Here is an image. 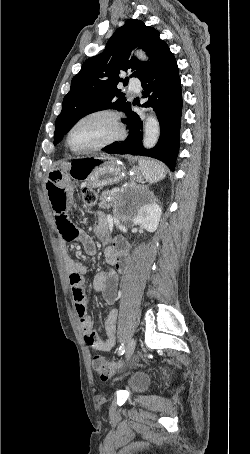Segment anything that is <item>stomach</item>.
<instances>
[{
  "instance_id": "0dacf381",
  "label": "stomach",
  "mask_w": 250,
  "mask_h": 454,
  "mask_svg": "<svg viewBox=\"0 0 250 454\" xmlns=\"http://www.w3.org/2000/svg\"><path fill=\"white\" fill-rule=\"evenodd\" d=\"M123 167L120 161L111 156L88 157L70 164L69 174L75 176L88 187H101L118 182L121 179ZM47 176H65L62 169L50 171ZM47 178V177H46ZM45 181V187H46Z\"/></svg>"
}]
</instances>
